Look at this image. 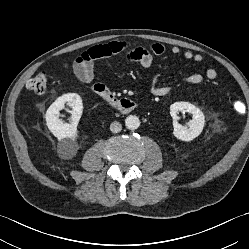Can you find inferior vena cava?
<instances>
[{"label": "inferior vena cava", "instance_id": "inferior-vena-cava-1", "mask_svg": "<svg viewBox=\"0 0 249 249\" xmlns=\"http://www.w3.org/2000/svg\"><path fill=\"white\" fill-rule=\"evenodd\" d=\"M110 130L112 133H118L122 130V125L119 122L114 121L110 125Z\"/></svg>", "mask_w": 249, "mask_h": 249}]
</instances>
